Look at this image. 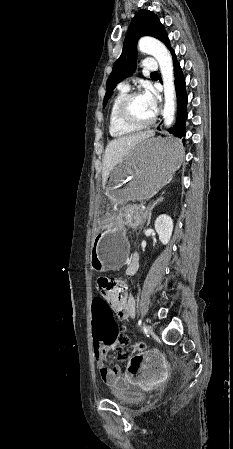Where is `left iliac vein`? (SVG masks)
I'll list each match as a JSON object with an SVG mask.
<instances>
[{
    "mask_svg": "<svg viewBox=\"0 0 233 449\" xmlns=\"http://www.w3.org/2000/svg\"><path fill=\"white\" fill-rule=\"evenodd\" d=\"M146 331H147V333H151V332L153 331L152 325L148 324V325L146 326Z\"/></svg>",
    "mask_w": 233,
    "mask_h": 449,
    "instance_id": "left-iliac-vein-1",
    "label": "left iliac vein"
}]
</instances>
